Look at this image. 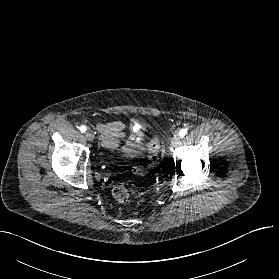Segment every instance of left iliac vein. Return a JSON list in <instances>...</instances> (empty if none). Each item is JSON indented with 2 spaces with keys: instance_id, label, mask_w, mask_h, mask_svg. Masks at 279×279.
I'll use <instances>...</instances> for the list:
<instances>
[{
  "instance_id": "obj_1",
  "label": "left iliac vein",
  "mask_w": 279,
  "mask_h": 279,
  "mask_svg": "<svg viewBox=\"0 0 279 279\" xmlns=\"http://www.w3.org/2000/svg\"><path fill=\"white\" fill-rule=\"evenodd\" d=\"M180 142V137L179 135H174L173 138L171 139V145L173 147H176Z\"/></svg>"
}]
</instances>
